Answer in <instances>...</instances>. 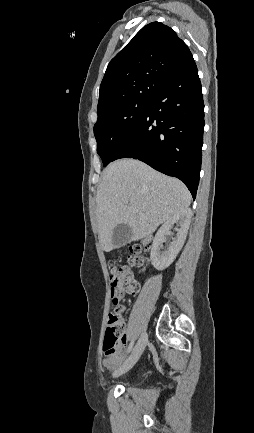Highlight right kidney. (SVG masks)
<instances>
[{
    "mask_svg": "<svg viewBox=\"0 0 254 433\" xmlns=\"http://www.w3.org/2000/svg\"><path fill=\"white\" fill-rule=\"evenodd\" d=\"M191 217L192 212L190 209L180 211L169 218L157 232L153 240L150 255L152 265L157 270H164L165 268L169 267L180 252L186 240ZM174 224L179 227L175 228L177 232L176 237L171 242L168 249L162 251V243L165 241V236L170 232V229Z\"/></svg>",
    "mask_w": 254,
    "mask_h": 433,
    "instance_id": "right-kidney-1",
    "label": "right kidney"
}]
</instances>
